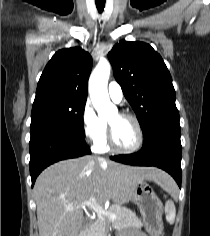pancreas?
Segmentation results:
<instances>
[{
  "label": "pancreas",
  "instance_id": "obj_1",
  "mask_svg": "<svg viewBox=\"0 0 210 236\" xmlns=\"http://www.w3.org/2000/svg\"><path fill=\"white\" fill-rule=\"evenodd\" d=\"M108 212L116 215V219L109 221L105 216L97 218L89 228L88 236H104L109 223H111L116 230L126 227L140 228L143 225L137 215L126 207L115 205L110 207Z\"/></svg>",
  "mask_w": 210,
  "mask_h": 236
}]
</instances>
